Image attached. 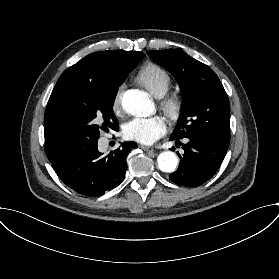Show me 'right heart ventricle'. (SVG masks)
<instances>
[{
  "mask_svg": "<svg viewBox=\"0 0 279 279\" xmlns=\"http://www.w3.org/2000/svg\"><path fill=\"white\" fill-rule=\"evenodd\" d=\"M138 80L157 97H162L167 93L172 81L170 73L154 62L146 63L140 68Z\"/></svg>",
  "mask_w": 279,
  "mask_h": 279,
  "instance_id": "e07e8e85",
  "label": "right heart ventricle"
}]
</instances>
